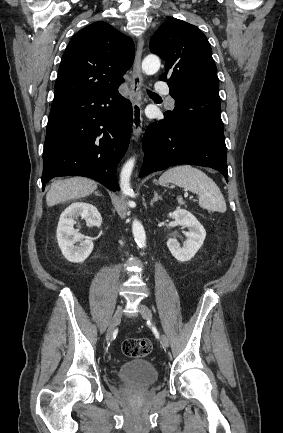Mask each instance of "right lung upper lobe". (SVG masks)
I'll return each mask as SVG.
<instances>
[{"mask_svg":"<svg viewBox=\"0 0 283 433\" xmlns=\"http://www.w3.org/2000/svg\"><path fill=\"white\" fill-rule=\"evenodd\" d=\"M134 55L132 39L110 24L95 22L83 28L62 56L52 105L119 87Z\"/></svg>","mask_w":283,"mask_h":433,"instance_id":"cb5924a9","label":"right lung upper lobe"}]
</instances>
